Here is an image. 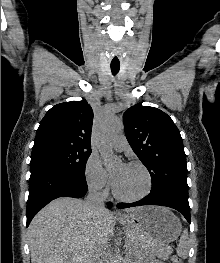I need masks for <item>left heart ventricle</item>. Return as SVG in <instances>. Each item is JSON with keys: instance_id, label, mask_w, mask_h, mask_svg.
<instances>
[{"instance_id": "b2bd125f", "label": "left heart ventricle", "mask_w": 220, "mask_h": 263, "mask_svg": "<svg viewBox=\"0 0 220 263\" xmlns=\"http://www.w3.org/2000/svg\"><path fill=\"white\" fill-rule=\"evenodd\" d=\"M113 178L116 189L124 196H137L147 187L146 175L138 166L118 164L113 168Z\"/></svg>"}]
</instances>
